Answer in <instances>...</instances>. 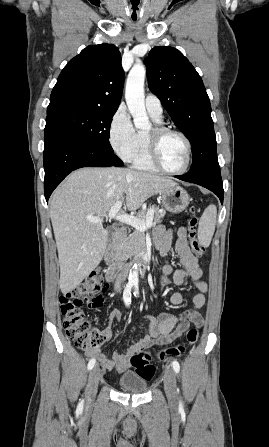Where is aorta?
Instances as JSON below:
<instances>
[{"mask_svg": "<svg viewBox=\"0 0 269 447\" xmlns=\"http://www.w3.org/2000/svg\"><path fill=\"white\" fill-rule=\"evenodd\" d=\"M146 76V68L141 60H136L132 70H130L126 82L125 100L133 118L135 128L138 130H150V118L146 114L145 96H144V80ZM139 263H135L133 271L129 275L128 283L138 285Z\"/></svg>", "mask_w": 269, "mask_h": 447, "instance_id": "aorta-1", "label": "aorta"}]
</instances>
